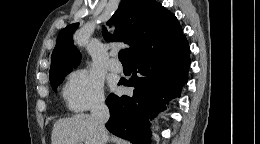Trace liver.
I'll use <instances>...</instances> for the list:
<instances>
[{
    "mask_svg": "<svg viewBox=\"0 0 260 144\" xmlns=\"http://www.w3.org/2000/svg\"><path fill=\"white\" fill-rule=\"evenodd\" d=\"M106 139V130L100 133L92 116L86 114L56 121L51 134L52 144H102Z\"/></svg>",
    "mask_w": 260,
    "mask_h": 144,
    "instance_id": "6515ba94",
    "label": "liver"
}]
</instances>
